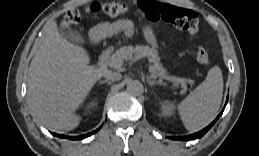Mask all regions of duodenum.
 <instances>
[{"label":"duodenum","mask_w":259,"mask_h":156,"mask_svg":"<svg viewBox=\"0 0 259 156\" xmlns=\"http://www.w3.org/2000/svg\"><path fill=\"white\" fill-rule=\"evenodd\" d=\"M112 52V48L111 47H107L106 49H104L102 51V53L100 54L98 60H97V66L100 68H104L107 64L108 58L110 56Z\"/></svg>","instance_id":"410a0bca"}]
</instances>
